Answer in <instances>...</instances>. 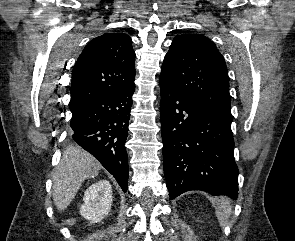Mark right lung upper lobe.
<instances>
[{"label":"right lung upper lobe","instance_id":"1","mask_svg":"<svg viewBox=\"0 0 295 241\" xmlns=\"http://www.w3.org/2000/svg\"><path fill=\"white\" fill-rule=\"evenodd\" d=\"M135 52L130 36L107 33L90 41L72 71L69 107L134 84Z\"/></svg>","mask_w":295,"mask_h":241}]
</instances>
